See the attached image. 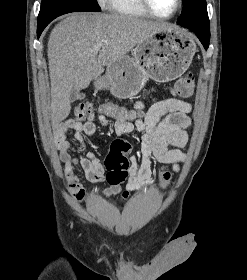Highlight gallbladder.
I'll list each match as a JSON object with an SVG mask.
<instances>
[{
  "label": "gallbladder",
  "mask_w": 247,
  "mask_h": 280,
  "mask_svg": "<svg viewBox=\"0 0 247 280\" xmlns=\"http://www.w3.org/2000/svg\"><path fill=\"white\" fill-rule=\"evenodd\" d=\"M81 96H80V94H79V92L77 91V90H73L72 92H71V94H70V102H74V101H76L77 99H79Z\"/></svg>",
  "instance_id": "gallbladder-1"
}]
</instances>
